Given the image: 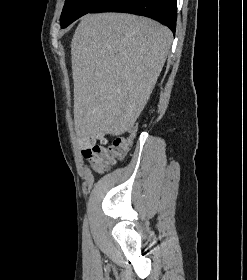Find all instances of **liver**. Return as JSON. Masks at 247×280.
<instances>
[{
    "mask_svg": "<svg viewBox=\"0 0 247 280\" xmlns=\"http://www.w3.org/2000/svg\"><path fill=\"white\" fill-rule=\"evenodd\" d=\"M171 31L146 17L84 16L71 43L74 122L82 135L127 131L165 64Z\"/></svg>",
    "mask_w": 247,
    "mask_h": 280,
    "instance_id": "1",
    "label": "liver"
}]
</instances>
